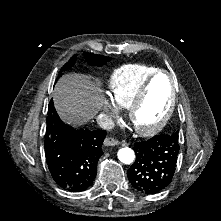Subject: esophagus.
<instances>
[{"instance_id": "1", "label": "esophagus", "mask_w": 221, "mask_h": 221, "mask_svg": "<svg viewBox=\"0 0 221 221\" xmlns=\"http://www.w3.org/2000/svg\"><path fill=\"white\" fill-rule=\"evenodd\" d=\"M104 144H105L106 146H117V145L120 144V142H119L118 140L114 139V138L106 137V138L104 139Z\"/></svg>"}]
</instances>
